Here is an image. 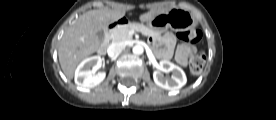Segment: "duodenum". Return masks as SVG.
Here are the masks:
<instances>
[{
    "instance_id": "duodenum-1",
    "label": "duodenum",
    "mask_w": 276,
    "mask_h": 120,
    "mask_svg": "<svg viewBox=\"0 0 276 120\" xmlns=\"http://www.w3.org/2000/svg\"><path fill=\"white\" fill-rule=\"evenodd\" d=\"M127 24V19L126 18H120L112 23H110L105 32H104V38H103V42L100 46V49L99 51L101 53H105L106 50H107V47H108V44L112 38V35H113V32L118 28V27H121V26H124Z\"/></svg>"
}]
</instances>
